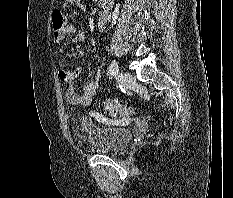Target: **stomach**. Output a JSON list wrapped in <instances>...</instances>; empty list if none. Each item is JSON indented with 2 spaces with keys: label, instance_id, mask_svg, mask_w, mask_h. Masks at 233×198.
I'll list each match as a JSON object with an SVG mask.
<instances>
[{
  "label": "stomach",
  "instance_id": "0dacf381",
  "mask_svg": "<svg viewBox=\"0 0 233 198\" xmlns=\"http://www.w3.org/2000/svg\"><path fill=\"white\" fill-rule=\"evenodd\" d=\"M66 3H73L75 0H64Z\"/></svg>",
  "mask_w": 233,
  "mask_h": 198
}]
</instances>
